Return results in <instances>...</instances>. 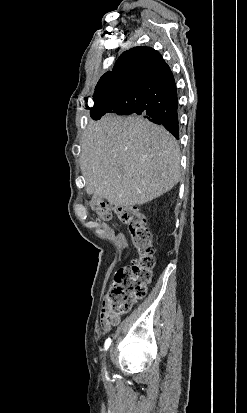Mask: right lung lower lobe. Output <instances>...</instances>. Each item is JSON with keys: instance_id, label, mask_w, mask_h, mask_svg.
<instances>
[{"instance_id": "right-lung-lower-lobe-1", "label": "right lung lower lobe", "mask_w": 247, "mask_h": 413, "mask_svg": "<svg viewBox=\"0 0 247 413\" xmlns=\"http://www.w3.org/2000/svg\"><path fill=\"white\" fill-rule=\"evenodd\" d=\"M135 89L134 97H110L90 109L91 118L99 120L106 113L136 114L163 125L179 139L178 97L173 74L167 67L153 72H135L126 81Z\"/></svg>"}]
</instances>
